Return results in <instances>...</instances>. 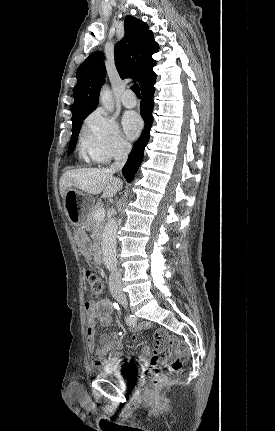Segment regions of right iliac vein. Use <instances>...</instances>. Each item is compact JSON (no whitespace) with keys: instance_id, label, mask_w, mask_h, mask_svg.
I'll list each match as a JSON object with an SVG mask.
<instances>
[{"instance_id":"right-iliac-vein-1","label":"right iliac vein","mask_w":275,"mask_h":431,"mask_svg":"<svg viewBox=\"0 0 275 431\" xmlns=\"http://www.w3.org/2000/svg\"><path fill=\"white\" fill-rule=\"evenodd\" d=\"M115 299L123 306L127 305V298L124 294H116Z\"/></svg>"}]
</instances>
